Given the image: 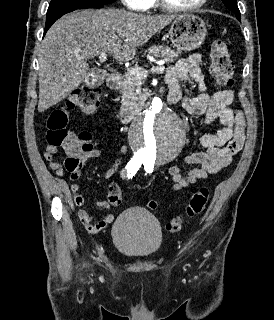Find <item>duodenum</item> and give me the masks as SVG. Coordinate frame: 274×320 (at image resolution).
Listing matches in <instances>:
<instances>
[{"label": "duodenum", "instance_id": "duodenum-1", "mask_svg": "<svg viewBox=\"0 0 274 320\" xmlns=\"http://www.w3.org/2000/svg\"><path fill=\"white\" fill-rule=\"evenodd\" d=\"M121 81L122 77L119 73H112L107 77L108 87L113 91L117 90L120 87ZM179 99L180 95L176 91L170 92L167 96V101L172 104L178 103ZM140 110L141 107H137L134 109L125 108L121 110L119 113L120 121L122 123L131 122L139 114Z\"/></svg>", "mask_w": 274, "mask_h": 320}]
</instances>
